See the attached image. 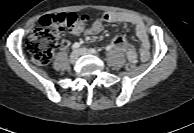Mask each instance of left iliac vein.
<instances>
[{
  "label": "left iliac vein",
  "instance_id": "1",
  "mask_svg": "<svg viewBox=\"0 0 194 133\" xmlns=\"http://www.w3.org/2000/svg\"><path fill=\"white\" fill-rule=\"evenodd\" d=\"M78 53L80 54V55H88V54H93L89 49H87V48H80L79 50H78Z\"/></svg>",
  "mask_w": 194,
  "mask_h": 133
}]
</instances>
